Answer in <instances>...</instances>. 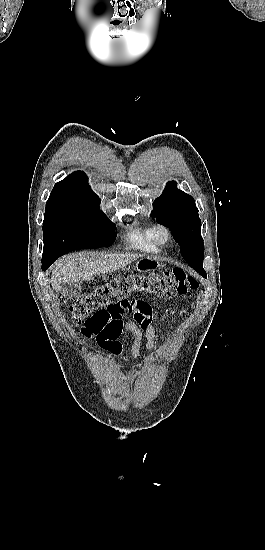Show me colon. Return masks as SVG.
Returning <instances> with one entry per match:
<instances>
[{
	"instance_id": "5ec220e1",
	"label": "colon",
	"mask_w": 265,
	"mask_h": 550,
	"mask_svg": "<svg viewBox=\"0 0 265 550\" xmlns=\"http://www.w3.org/2000/svg\"><path fill=\"white\" fill-rule=\"evenodd\" d=\"M198 285L197 279L181 268L146 274H123L80 295L71 303L69 311L75 324L85 322L99 340L113 338L117 330L115 320L120 319L125 312L133 314L137 325L142 327L147 324L139 311L147 303L129 300L131 295L172 298L195 290Z\"/></svg>"
}]
</instances>
